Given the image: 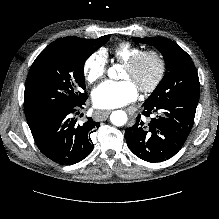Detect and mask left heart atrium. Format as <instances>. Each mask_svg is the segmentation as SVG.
<instances>
[{"mask_svg": "<svg viewBox=\"0 0 219 219\" xmlns=\"http://www.w3.org/2000/svg\"><path fill=\"white\" fill-rule=\"evenodd\" d=\"M137 87L129 80L120 82L106 81L92 92L94 105L99 109L122 107L136 100Z\"/></svg>", "mask_w": 219, "mask_h": 219, "instance_id": "1", "label": "left heart atrium"}]
</instances>
